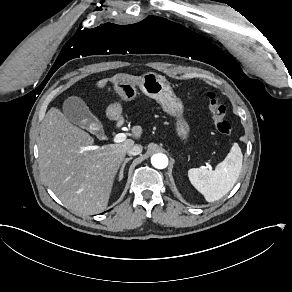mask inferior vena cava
<instances>
[{
	"instance_id": "1",
	"label": "inferior vena cava",
	"mask_w": 292,
	"mask_h": 292,
	"mask_svg": "<svg viewBox=\"0 0 292 292\" xmlns=\"http://www.w3.org/2000/svg\"><path fill=\"white\" fill-rule=\"evenodd\" d=\"M142 149L143 148H142L141 145L136 144V145L132 146L130 149L127 150V154L128 155H133V156L139 155L142 152Z\"/></svg>"
}]
</instances>
